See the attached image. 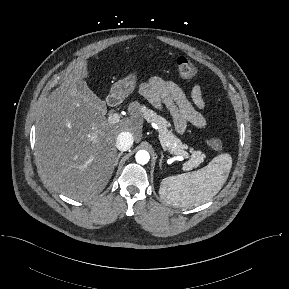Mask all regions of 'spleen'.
<instances>
[{"label": "spleen", "instance_id": "3e777b00", "mask_svg": "<svg viewBox=\"0 0 289 289\" xmlns=\"http://www.w3.org/2000/svg\"><path fill=\"white\" fill-rule=\"evenodd\" d=\"M232 167V157L223 153L197 171L162 180L160 197L169 205L193 207L211 200L223 187Z\"/></svg>", "mask_w": 289, "mask_h": 289}]
</instances>
